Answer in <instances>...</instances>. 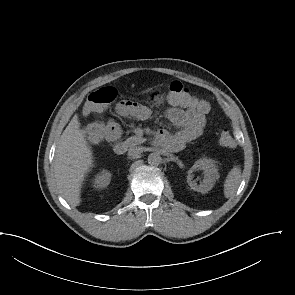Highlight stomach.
Returning <instances> with one entry per match:
<instances>
[{"instance_id": "obj_1", "label": "stomach", "mask_w": 295, "mask_h": 295, "mask_svg": "<svg viewBox=\"0 0 295 295\" xmlns=\"http://www.w3.org/2000/svg\"><path fill=\"white\" fill-rule=\"evenodd\" d=\"M147 102L152 107H159L164 102V95L159 90H152L147 95Z\"/></svg>"}]
</instances>
